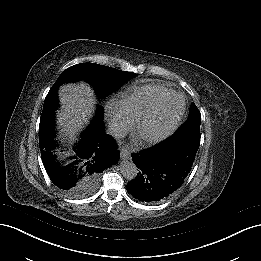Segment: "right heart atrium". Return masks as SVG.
I'll list each match as a JSON object with an SVG mask.
<instances>
[{"label":"right heart atrium","mask_w":261,"mask_h":261,"mask_svg":"<svg viewBox=\"0 0 261 261\" xmlns=\"http://www.w3.org/2000/svg\"><path fill=\"white\" fill-rule=\"evenodd\" d=\"M105 112L110 129L115 135L121 136L129 130L130 122L118 102L117 105L113 102L109 103Z\"/></svg>","instance_id":"d8ad5b80"}]
</instances>
